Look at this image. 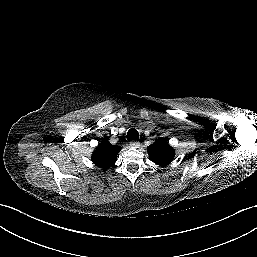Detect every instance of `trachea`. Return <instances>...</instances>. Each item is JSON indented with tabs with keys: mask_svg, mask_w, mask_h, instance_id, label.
<instances>
[{
	"mask_svg": "<svg viewBox=\"0 0 257 257\" xmlns=\"http://www.w3.org/2000/svg\"><path fill=\"white\" fill-rule=\"evenodd\" d=\"M127 140L128 141H132V140H136L139 138V133L136 129L131 128L128 132H127Z\"/></svg>",
	"mask_w": 257,
	"mask_h": 257,
	"instance_id": "3493384b",
	"label": "trachea"
}]
</instances>
